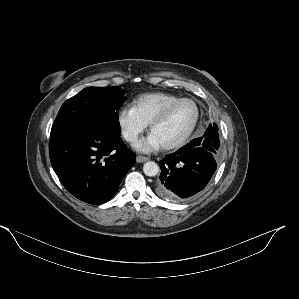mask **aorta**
Listing matches in <instances>:
<instances>
[{
    "label": "aorta",
    "instance_id": "obj_1",
    "mask_svg": "<svg viewBox=\"0 0 299 299\" xmlns=\"http://www.w3.org/2000/svg\"><path fill=\"white\" fill-rule=\"evenodd\" d=\"M143 172L146 176H156L159 172V166L153 161H148L143 166Z\"/></svg>",
    "mask_w": 299,
    "mask_h": 299
}]
</instances>
